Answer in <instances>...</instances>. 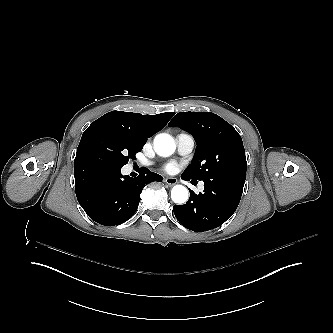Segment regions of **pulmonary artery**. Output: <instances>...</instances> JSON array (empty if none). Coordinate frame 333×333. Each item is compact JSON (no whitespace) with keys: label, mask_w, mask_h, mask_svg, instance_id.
Wrapping results in <instances>:
<instances>
[{"label":"pulmonary artery","mask_w":333,"mask_h":333,"mask_svg":"<svg viewBox=\"0 0 333 333\" xmlns=\"http://www.w3.org/2000/svg\"><path fill=\"white\" fill-rule=\"evenodd\" d=\"M176 146H177V152L181 156H188L192 153L194 149V138L189 133H180L176 136ZM203 182L200 183V188H202Z\"/></svg>","instance_id":"1"}]
</instances>
